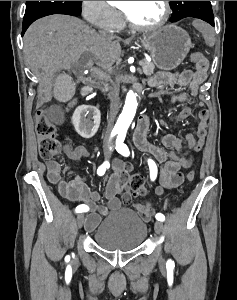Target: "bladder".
Segmentation results:
<instances>
[{
    "label": "bladder",
    "mask_w": 237,
    "mask_h": 300,
    "mask_svg": "<svg viewBox=\"0 0 237 300\" xmlns=\"http://www.w3.org/2000/svg\"><path fill=\"white\" fill-rule=\"evenodd\" d=\"M148 234L146 222L125 209L103 220L93 231L92 239L108 251H130L141 246Z\"/></svg>",
    "instance_id": "31cf9c89"
}]
</instances>
